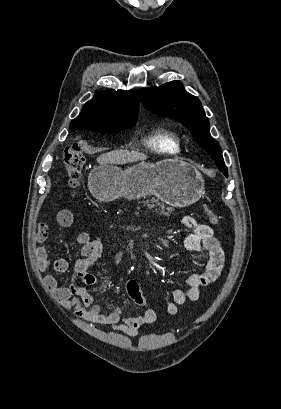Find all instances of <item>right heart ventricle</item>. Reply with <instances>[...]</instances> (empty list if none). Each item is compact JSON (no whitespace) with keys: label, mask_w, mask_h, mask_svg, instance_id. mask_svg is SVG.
<instances>
[{"label":"right heart ventricle","mask_w":281,"mask_h":409,"mask_svg":"<svg viewBox=\"0 0 281 409\" xmlns=\"http://www.w3.org/2000/svg\"><path fill=\"white\" fill-rule=\"evenodd\" d=\"M156 147L160 151L169 154H177L181 150L179 138L167 131H160L158 133Z\"/></svg>","instance_id":"e07e8e85"}]
</instances>
